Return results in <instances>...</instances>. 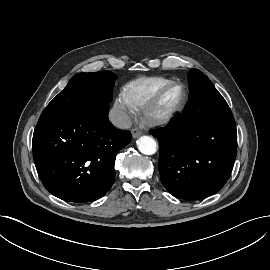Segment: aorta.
<instances>
[{"instance_id": "obj_1", "label": "aorta", "mask_w": 270, "mask_h": 270, "mask_svg": "<svg viewBox=\"0 0 270 270\" xmlns=\"http://www.w3.org/2000/svg\"><path fill=\"white\" fill-rule=\"evenodd\" d=\"M139 151L145 155H153L157 151V143L150 136H141L137 141Z\"/></svg>"}]
</instances>
